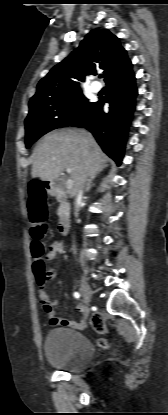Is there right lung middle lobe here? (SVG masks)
Masks as SVG:
<instances>
[{"instance_id":"dd1d6c3e","label":"right lung middle lobe","mask_w":168,"mask_h":415,"mask_svg":"<svg viewBox=\"0 0 168 415\" xmlns=\"http://www.w3.org/2000/svg\"><path fill=\"white\" fill-rule=\"evenodd\" d=\"M95 104L89 102L81 91L30 109L25 119L26 147L29 148L47 132L70 126L84 116Z\"/></svg>"}]
</instances>
